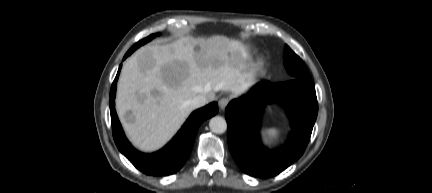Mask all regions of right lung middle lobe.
<instances>
[{
    "label": "right lung middle lobe",
    "instance_id": "right-lung-middle-lobe-1",
    "mask_svg": "<svg viewBox=\"0 0 432 193\" xmlns=\"http://www.w3.org/2000/svg\"><path fill=\"white\" fill-rule=\"evenodd\" d=\"M158 35H160V34H159V33H158V34H152V35H150L149 37H147V38H145V39H143V40L137 42L136 44H134V45L130 48V50L128 51V53L131 54V53H132L134 50H136L138 47H140L141 45L147 43L148 41L152 40L155 36H158Z\"/></svg>",
    "mask_w": 432,
    "mask_h": 193
}]
</instances>
